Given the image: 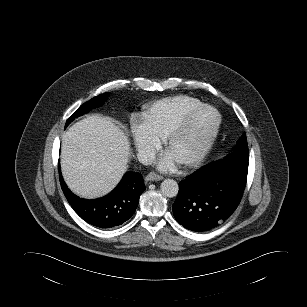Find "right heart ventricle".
Returning <instances> with one entry per match:
<instances>
[{
  "mask_svg": "<svg viewBox=\"0 0 307 307\" xmlns=\"http://www.w3.org/2000/svg\"><path fill=\"white\" fill-rule=\"evenodd\" d=\"M200 103L199 99L189 95L157 100L146 107L143 113V124L157 140L163 141L182 115Z\"/></svg>",
  "mask_w": 307,
  "mask_h": 307,
  "instance_id": "obj_1",
  "label": "right heart ventricle"
}]
</instances>
